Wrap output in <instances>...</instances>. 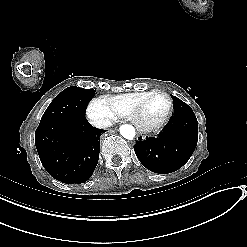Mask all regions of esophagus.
<instances>
[{
	"mask_svg": "<svg viewBox=\"0 0 247 247\" xmlns=\"http://www.w3.org/2000/svg\"><path fill=\"white\" fill-rule=\"evenodd\" d=\"M136 139L138 141H143V140H145V136L144 135H141V134H138Z\"/></svg>",
	"mask_w": 247,
	"mask_h": 247,
	"instance_id": "1",
	"label": "esophagus"
}]
</instances>
